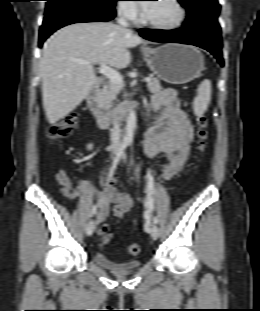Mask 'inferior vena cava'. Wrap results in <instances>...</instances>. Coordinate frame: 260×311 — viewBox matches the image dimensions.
Instances as JSON below:
<instances>
[{"mask_svg":"<svg viewBox=\"0 0 260 311\" xmlns=\"http://www.w3.org/2000/svg\"><path fill=\"white\" fill-rule=\"evenodd\" d=\"M118 23L122 27H128L129 24L125 17L123 15H120L118 18ZM121 129H120V124L118 122V118L114 119V126L111 129V148L117 149L119 147V144L121 142Z\"/></svg>","mask_w":260,"mask_h":311,"instance_id":"1","label":"inferior vena cava"}]
</instances>
